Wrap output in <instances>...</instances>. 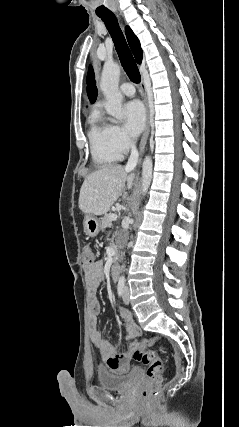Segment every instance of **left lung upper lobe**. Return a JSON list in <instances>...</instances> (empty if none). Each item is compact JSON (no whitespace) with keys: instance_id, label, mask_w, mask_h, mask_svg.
<instances>
[{"instance_id":"5c2ea615","label":"left lung upper lobe","mask_w":239,"mask_h":427,"mask_svg":"<svg viewBox=\"0 0 239 427\" xmlns=\"http://www.w3.org/2000/svg\"><path fill=\"white\" fill-rule=\"evenodd\" d=\"M87 94L90 102H95L97 98V87L94 79V72L92 66H89L87 74Z\"/></svg>"}]
</instances>
